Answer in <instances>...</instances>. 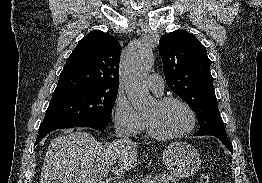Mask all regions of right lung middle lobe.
Wrapping results in <instances>:
<instances>
[{
  "label": "right lung middle lobe",
  "instance_id": "1",
  "mask_svg": "<svg viewBox=\"0 0 262 183\" xmlns=\"http://www.w3.org/2000/svg\"><path fill=\"white\" fill-rule=\"evenodd\" d=\"M118 90L74 89L54 92L43 123L86 121L110 124Z\"/></svg>",
  "mask_w": 262,
  "mask_h": 183
}]
</instances>
